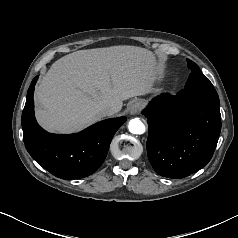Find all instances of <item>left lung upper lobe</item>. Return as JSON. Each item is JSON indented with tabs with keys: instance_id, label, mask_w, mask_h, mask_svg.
<instances>
[{
	"instance_id": "obj_1",
	"label": "left lung upper lobe",
	"mask_w": 238,
	"mask_h": 238,
	"mask_svg": "<svg viewBox=\"0 0 238 238\" xmlns=\"http://www.w3.org/2000/svg\"><path fill=\"white\" fill-rule=\"evenodd\" d=\"M187 66L191 70V74L184 88V94L204 95L209 97H218L210 80L200 71L198 65L187 59Z\"/></svg>"
}]
</instances>
